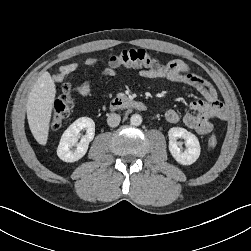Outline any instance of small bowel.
Here are the masks:
<instances>
[{
	"label": "small bowel",
	"instance_id": "1",
	"mask_svg": "<svg viewBox=\"0 0 251 251\" xmlns=\"http://www.w3.org/2000/svg\"><path fill=\"white\" fill-rule=\"evenodd\" d=\"M95 62V59L89 58L85 61V64L92 66ZM78 66V63H69L62 66L54 76V80L61 82L67 74L74 72ZM109 74V71L104 73V75ZM139 76L146 79L165 78L173 82L184 83L195 88L202 95L203 99L193 101L190 104V110L183 115L174 109L167 110L165 118L170 123L182 121L187 128L200 135H206L213 129V120L225 118V111L213 86L194 73L190 66L182 60H171L162 69H141ZM92 89V81H86L77 86V92L82 96L89 95Z\"/></svg>",
	"mask_w": 251,
	"mask_h": 251
}]
</instances>
